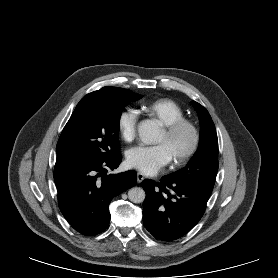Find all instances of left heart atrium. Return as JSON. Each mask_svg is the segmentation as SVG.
Listing matches in <instances>:
<instances>
[{
  "label": "left heart atrium",
  "mask_w": 278,
  "mask_h": 278,
  "mask_svg": "<svg viewBox=\"0 0 278 278\" xmlns=\"http://www.w3.org/2000/svg\"><path fill=\"white\" fill-rule=\"evenodd\" d=\"M171 161L164 145L137 146L127 153V164L146 175H154Z\"/></svg>",
  "instance_id": "obj_1"
}]
</instances>
